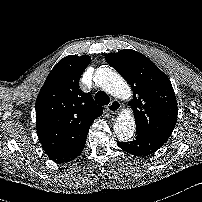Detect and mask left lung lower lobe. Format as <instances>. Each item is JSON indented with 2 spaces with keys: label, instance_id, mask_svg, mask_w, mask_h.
Instances as JSON below:
<instances>
[{
  "label": "left lung lower lobe",
  "instance_id": "left-lung-lower-lobe-1",
  "mask_svg": "<svg viewBox=\"0 0 202 202\" xmlns=\"http://www.w3.org/2000/svg\"><path fill=\"white\" fill-rule=\"evenodd\" d=\"M168 138L162 136L136 133L135 139L130 142H117V145L134 156H149L156 152Z\"/></svg>",
  "mask_w": 202,
  "mask_h": 202
}]
</instances>
